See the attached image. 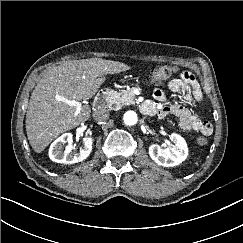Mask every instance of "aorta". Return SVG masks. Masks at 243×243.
Listing matches in <instances>:
<instances>
[{"instance_id": "obj_1", "label": "aorta", "mask_w": 243, "mask_h": 243, "mask_svg": "<svg viewBox=\"0 0 243 243\" xmlns=\"http://www.w3.org/2000/svg\"><path fill=\"white\" fill-rule=\"evenodd\" d=\"M123 121H124L125 125L133 126L138 121V115L135 111H132V110L126 111L123 116Z\"/></svg>"}]
</instances>
